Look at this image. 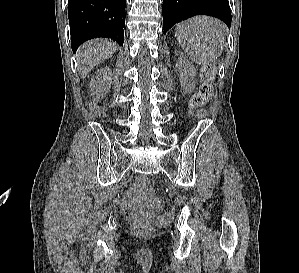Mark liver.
Here are the masks:
<instances>
[{"mask_svg":"<svg viewBox=\"0 0 299 273\" xmlns=\"http://www.w3.org/2000/svg\"><path fill=\"white\" fill-rule=\"evenodd\" d=\"M116 44L110 40L96 39L84 43L78 50V70L82 79L99 63L109 59Z\"/></svg>","mask_w":299,"mask_h":273,"instance_id":"1","label":"liver"}]
</instances>
